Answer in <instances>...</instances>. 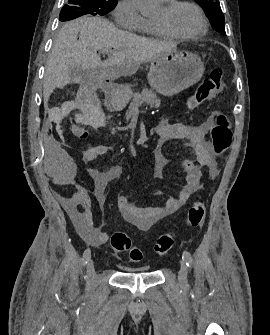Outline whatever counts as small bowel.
Instances as JSON below:
<instances>
[{
  "label": "small bowel",
  "mask_w": 270,
  "mask_h": 335,
  "mask_svg": "<svg viewBox=\"0 0 270 335\" xmlns=\"http://www.w3.org/2000/svg\"><path fill=\"white\" fill-rule=\"evenodd\" d=\"M210 128V120L199 125H186L161 121L157 126L158 142L154 150V176L161 177L168 164V158L162 153V146L171 140L186 139L195 152L197 162L184 159L181 163L185 174V185L177 196H170L164 205L156 207H138L131 204L126 196L118 195L117 205L123 219L142 232L149 231L161 220L175 214L183 207L189 198L202 187L203 168H207L212 177L218 174V165L212 155L211 144L206 139ZM46 134H62L60 121H49ZM47 158H41V165H47L44 178H64L62 184L74 185L75 192L64 197L62 202L66 212L73 221L81 236L91 244L101 245L107 242L108 234L99 230L93 221L92 203L98 204L100 211L104 210L108 197L109 185L123 173V167L115 164L107 170L90 168L89 175L93 181V197L88 190L75 184L73 178H79L76 158H67L68 151L56 144V139L48 136L45 139ZM110 152L107 145H96L82 154L84 163L93 162Z\"/></svg>",
  "instance_id": "1"
}]
</instances>
